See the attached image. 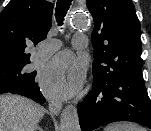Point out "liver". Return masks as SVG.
Listing matches in <instances>:
<instances>
[{"instance_id": "liver-1", "label": "liver", "mask_w": 151, "mask_h": 131, "mask_svg": "<svg viewBox=\"0 0 151 131\" xmlns=\"http://www.w3.org/2000/svg\"><path fill=\"white\" fill-rule=\"evenodd\" d=\"M45 109L19 95H0V131H36Z\"/></svg>"}]
</instances>
